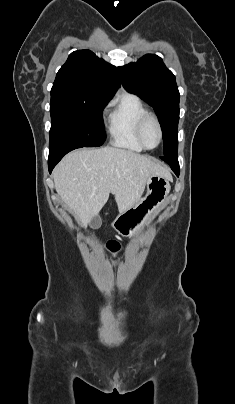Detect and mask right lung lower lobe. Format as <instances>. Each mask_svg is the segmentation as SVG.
<instances>
[{"instance_id":"obj_1","label":"right lung lower lobe","mask_w":235,"mask_h":404,"mask_svg":"<svg viewBox=\"0 0 235 404\" xmlns=\"http://www.w3.org/2000/svg\"><path fill=\"white\" fill-rule=\"evenodd\" d=\"M80 148L79 145L70 144V145H59L50 148L49 158H48V168L51 173L55 165L63 158L65 154L68 152Z\"/></svg>"}]
</instances>
